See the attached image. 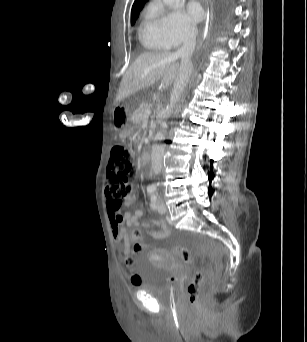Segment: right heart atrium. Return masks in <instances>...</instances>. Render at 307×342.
Here are the masks:
<instances>
[{"instance_id": "right-heart-atrium-1", "label": "right heart atrium", "mask_w": 307, "mask_h": 342, "mask_svg": "<svg viewBox=\"0 0 307 342\" xmlns=\"http://www.w3.org/2000/svg\"><path fill=\"white\" fill-rule=\"evenodd\" d=\"M192 29L181 21L176 12H162L156 16L153 27L145 34L159 40L167 47H177Z\"/></svg>"}]
</instances>
